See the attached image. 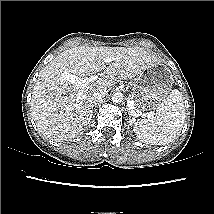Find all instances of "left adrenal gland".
I'll return each instance as SVG.
<instances>
[{
	"label": "left adrenal gland",
	"mask_w": 214,
	"mask_h": 214,
	"mask_svg": "<svg viewBox=\"0 0 214 214\" xmlns=\"http://www.w3.org/2000/svg\"><path fill=\"white\" fill-rule=\"evenodd\" d=\"M131 115H132V114H131V112L129 111V117H130V118H131Z\"/></svg>",
	"instance_id": "obj_1"
}]
</instances>
